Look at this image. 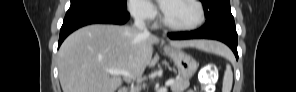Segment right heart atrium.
<instances>
[{
	"instance_id": "obj_1",
	"label": "right heart atrium",
	"mask_w": 296,
	"mask_h": 92,
	"mask_svg": "<svg viewBox=\"0 0 296 92\" xmlns=\"http://www.w3.org/2000/svg\"><path fill=\"white\" fill-rule=\"evenodd\" d=\"M132 16L142 22L151 23L157 17V8L151 1L131 0L128 2Z\"/></svg>"
}]
</instances>
